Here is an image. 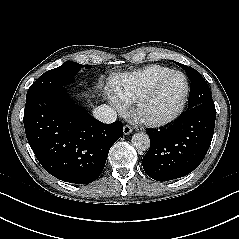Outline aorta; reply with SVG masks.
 <instances>
[{"instance_id":"aorta-1","label":"aorta","mask_w":239,"mask_h":239,"mask_svg":"<svg viewBox=\"0 0 239 239\" xmlns=\"http://www.w3.org/2000/svg\"><path fill=\"white\" fill-rule=\"evenodd\" d=\"M132 146L139 151L148 150L150 147V139L146 133L138 132L132 136Z\"/></svg>"}]
</instances>
